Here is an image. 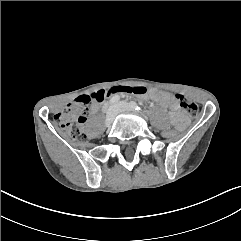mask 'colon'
Instances as JSON below:
<instances>
[{"mask_svg":"<svg viewBox=\"0 0 241 241\" xmlns=\"http://www.w3.org/2000/svg\"><path fill=\"white\" fill-rule=\"evenodd\" d=\"M148 92L143 86H117L111 88L101 89L91 95H83L78 97L74 102L70 103L65 111L59 112L55 115V120L60 128L70 135L73 139L82 141L86 138L83 129L85 122V113L93 102H100L111 94H133L145 95ZM178 102L180 109L189 117H196L198 115V106L181 94L174 95ZM159 137L165 140H171L177 137L176 129H160Z\"/></svg>","mask_w":241,"mask_h":241,"instance_id":"5ec220e1","label":"colon"}]
</instances>
